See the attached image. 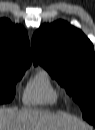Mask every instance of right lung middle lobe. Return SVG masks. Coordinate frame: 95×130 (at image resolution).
I'll return each mask as SVG.
<instances>
[{
    "instance_id": "obj_1",
    "label": "right lung middle lobe",
    "mask_w": 95,
    "mask_h": 130,
    "mask_svg": "<svg viewBox=\"0 0 95 130\" xmlns=\"http://www.w3.org/2000/svg\"><path fill=\"white\" fill-rule=\"evenodd\" d=\"M26 69H0V104L9 103L15 96V84L21 79Z\"/></svg>"
}]
</instances>
